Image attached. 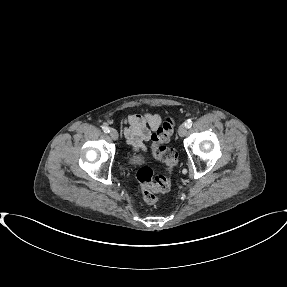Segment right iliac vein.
<instances>
[{
  "mask_svg": "<svg viewBox=\"0 0 287 287\" xmlns=\"http://www.w3.org/2000/svg\"><path fill=\"white\" fill-rule=\"evenodd\" d=\"M111 138L113 140H117L118 139V132L115 130V129H110V132H109Z\"/></svg>",
  "mask_w": 287,
  "mask_h": 287,
  "instance_id": "obj_1",
  "label": "right iliac vein"
}]
</instances>
